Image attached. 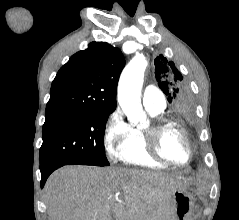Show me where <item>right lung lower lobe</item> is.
<instances>
[{
	"instance_id": "obj_1",
	"label": "right lung lower lobe",
	"mask_w": 239,
	"mask_h": 220,
	"mask_svg": "<svg viewBox=\"0 0 239 220\" xmlns=\"http://www.w3.org/2000/svg\"><path fill=\"white\" fill-rule=\"evenodd\" d=\"M60 166H55V167H52L46 171H42L41 172V187L44 186L48 176L54 171L56 170L57 168H59Z\"/></svg>"
}]
</instances>
